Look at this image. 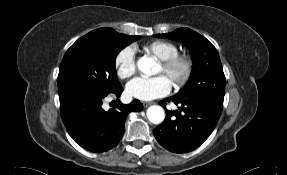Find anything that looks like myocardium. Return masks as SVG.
Here are the masks:
<instances>
[{"label": "myocardium", "mask_w": 287, "mask_h": 175, "mask_svg": "<svg viewBox=\"0 0 287 175\" xmlns=\"http://www.w3.org/2000/svg\"><path fill=\"white\" fill-rule=\"evenodd\" d=\"M160 64L163 71L169 76L176 87L185 85L190 79L194 63L192 58L187 54H176L166 59H162Z\"/></svg>", "instance_id": "f54148a6"}]
</instances>
